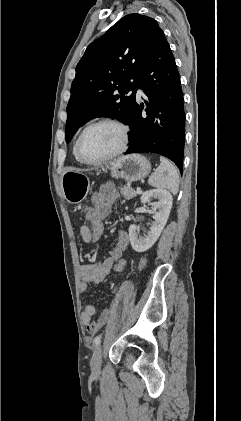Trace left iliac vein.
Segmentation results:
<instances>
[{
  "label": "left iliac vein",
  "instance_id": "1",
  "mask_svg": "<svg viewBox=\"0 0 241 421\" xmlns=\"http://www.w3.org/2000/svg\"><path fill=\"white\" fill-rule=\"evenodd\" d=\"M102 362V348L99 346L95 349L92 359H91V369L93 372L97 373L100 371Z\"/></svg>",
  "mask_w": 241,
  "mask_h": 421
}]
</instances>
